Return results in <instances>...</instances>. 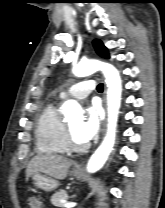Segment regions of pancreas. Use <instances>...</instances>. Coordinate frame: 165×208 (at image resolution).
Instances as JSON below:
<instances>
[{"label": "pancreas", "instance_id": "cf45deb5", "mask_svg": "<svg viewBox=\"0 0 165 208\" xmlns=\"http://www.w3.org/2000/svg\"><path fill=\"white\" fill-rule=\"evenodd\" d=\"M67 198V192L65 190H59L51 196V203L56 207H63L62 200Z\"/></svg>", "mask_w": 165, "mask_h": 208}]
</instances>
